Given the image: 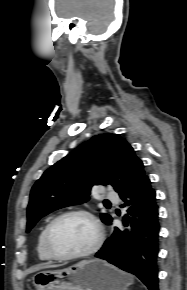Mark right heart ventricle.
Listing matches in <instances>:
<instances>
[{"instance_id": "obj_1", "label": "right heart ventricle", "mask_w": 187, "mask_h": 290, "mask_svg": "<svg viewBox=\"0 0 187 290\" xmlns=\"http://www.w3.org/2000/svg\"><path fill=\"white\" fill-rule=\"evenodd\" d=\"M45 229L46 227H44L39 236H38V240H37V254L39 259L43 260V261H51L53 260V258L48 254L45 245H44V233H45Z\"/></svg>"}]
</instances>
